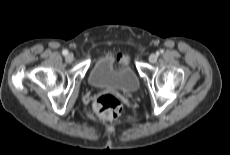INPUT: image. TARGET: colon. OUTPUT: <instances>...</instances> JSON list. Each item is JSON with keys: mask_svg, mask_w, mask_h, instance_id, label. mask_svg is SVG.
Returning <instances> with one entry per match:
<instances>
[{"mask_svg": "<svg viewBox=\"0 0 230 155\" xmlns=\"http://www.w3.org/2000/svg\"><path fill=\"white\" fill-rule=\"evenodd\" d=\"M97 115L103 120H113L122 112V106L117 97L112 94H103L94 104Z\"/></svg>", "mask_w": 230, "mask_h": 155, "instance_id": "obj_1", "label": "colon"}]
</instances>
